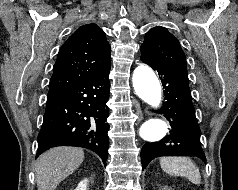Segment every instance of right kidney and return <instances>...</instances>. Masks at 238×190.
Here are the masks:
<instances>
[{"mask_svg": "<svg viewBox=\"0 0 238 190\" xmlns=\"http://www.w3.org/2000/svg\"><path fill=\"white\" fill-rule=\"evenodd\" d=\"M88 179H83L75 190H87Z\"/></svg>", "mask_w": 238, "mask_h": 190, "instance_id": "obj_1", "label": "right kidney"}]
</instances>
